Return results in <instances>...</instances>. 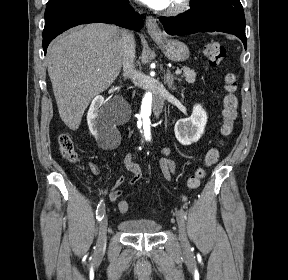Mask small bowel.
I'll list each match as a JSON object with an SVG mask.
<instances>
[{
	"mask_svg": "<svg viewBox=\"0 0 288 280\" xmlns=\"http://www.w3.org/2000/svg\"><path fill=\"white\" fill-rule=\"evenodd\" d=\"M164 157L160 161V168L162 171L163 176L167 180H171L175 171H176V164L173 160L168 157L169 150L165 148L163 150ZM124 165L126 169L131 173V177H120L118 181L114 184L111 188L109 193V198L112 202H118V207L120 212L125 213L120 209V204L123 200H120L122 196V186L127 184L128 186H133L136 182H138L142 177V170L141 167L134 162V154L129 153L124 159ZM90 168L93 173L97 174L98 169L94 165H90Z\"/></svg>",
	"mask_w": 288,
	"mask_h": 280,
	"instance_id": "obj_1",
	"label": "small bowel"
}]
</instances>
